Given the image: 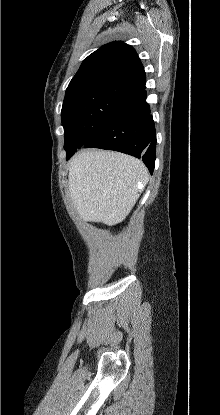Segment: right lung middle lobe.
I'll list each match as a JSON object with an SVG mask.
<instances>
[{"mask_svg": "<svg viewBox=\"0 0 220 415\" xmlns=\"http://www.w3.org/2000/svg\"><path fill=\"white\" fill-rule=\"evenodd\" d=\"M139 89L116 78H99L68 87L61 112L64 148L84 145L109 115Z\"/></svg>", "mask_w": 220, "mask_h": 415, "instance_id": "obj_1", "label": "right lung middle lobe"}]
</instances>
